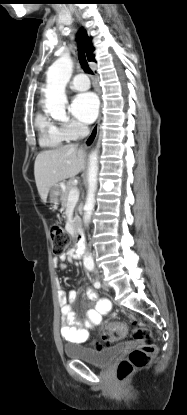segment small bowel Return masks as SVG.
I'll use <instances>...</instances> for the list:
<instances>
[{"mask_svg":"<svg viewBox=\"0 0 187 415\" xmlns=\"http://www.w3.org/2000/svg\"><path fill=\"white\" fill-rule=\"evenodd\" d=\"M71 254H62L55 258V263L62 269L66 267L65 261L71 258ZM90 308L86 312V320L82 323L75 321L73 311V302L76 299V292L71 290L65 292L62 289L58 291V301L62 313L61 335L63 339L70 344H84L90 336V330L99 326L102 318L110 311L111 302L107 298H99L93 289L86 291Z\"/></svg>","mask_w":187,"mask_h":415,"instance_id":"small-bowel-1","label":"small bowel"}]
</instances>
